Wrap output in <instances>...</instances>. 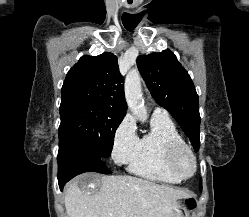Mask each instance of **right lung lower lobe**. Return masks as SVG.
Returning a JSON list of instances; mask_svg holds the SVG:
<instances>
[{"mask_svg": "<svg viewBox=\"0 0 249 217\" xmlns=\"http://www.w3.org/2000/svg\"><path fill=\"white\" fill-rule=\"evenodd\" d=\"M58 183L63 186L74 176L84 172L110 174L105 159L100 158L88 147L73 140H59L58 152Z\"/></svg>", "mask_w": 249, "mask_h": 217, "instance_id": "98d812e1", "label": "right lung lower lobe"}]
</instances>
